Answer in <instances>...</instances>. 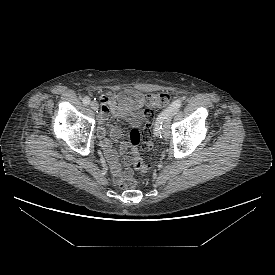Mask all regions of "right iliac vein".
<instances>
[{"label": "right iliac vein", "mask_w": 275, "mask_h": 275, "mask_svg": "<svg viewBox=\"0 0 275 275\" xmlns=\"http://www.w3.org/2000/svg\"><path fill=\"white\" fill-rule=\"evenodd\" d=\"M90 106H91V108L93 109V110H98V108H99V106H98V103L96 102V101H92L91 103H90Z\"/></svg>", "instance_id": "1"}]
</instances>
